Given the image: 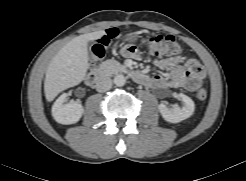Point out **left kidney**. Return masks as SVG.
Masks as SVG:
<instances>
[{
	"instance_id": "1",
	"label": "left kidney",
	"mask_w": 246,
	"mask_h": 181,
	"mask_svg": "<svg viewBox=\"0 0 246 181\" xmlns=\"http://www.w3.org/2000/svg\"><path fill=\"white\" fill-rule=\"evenodd\" d=\"M178 97L183 102L182 107L167 108L164 103L159 104V111L167 122L179 123L187 118H189L195 109L193 100L185 94L180 93Z\"/></svg>"
}]
</instances>
